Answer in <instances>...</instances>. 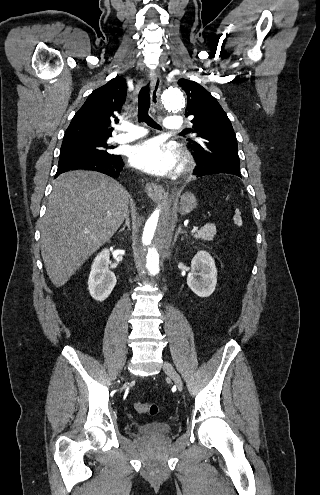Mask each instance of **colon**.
Masks as SVG:
<instances>
[{"label":"colon","mask_w":320,"mask_h":495,"mask_svg":"<svg viewBox=\"0 0 320 495\" xmlns=\"http://www.w3.org/2000/svg\"><path fill=\"white\" fill-rule=\"evenodd\" d=\"M134 408L139 414L154 416L158 413V406L155 403L136 402Z\"/></svg>","instance_id":"colon-1"}]
</instances>
